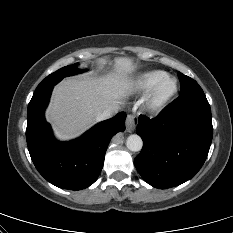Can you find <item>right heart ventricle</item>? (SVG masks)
Instances as JSON below:
<instances>
[{
    "label": "right heart ventricle",
    "instance_id": "1",
    "mask_svg": "<svg viewBox=\"0 0 233 233\" xmlns=\"http://www.w3.org/2000/svg\"><path fill=\"white\" fill-rule=\"evenodd\" d=\"M165 75V72L160 70L148 71L137 77L132 85L134 92H145L151 90L156 82Z\"/></svg>",
    "mask_w": 233,
    "mask_h": 233
}]
</instances>
